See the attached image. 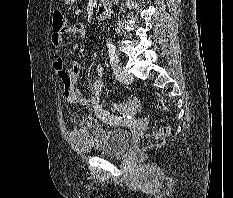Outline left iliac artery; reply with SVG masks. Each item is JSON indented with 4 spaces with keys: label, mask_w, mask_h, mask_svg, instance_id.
Instances as JSON below:
<instances>
[{
    "label": "left iliac artery",
    "mask_w": 233,
    "mask_h": 198,
    "mask_svg": "<svg viewBox=\"0 0 233 198\" xmlns=\"http://www.w3.org/2000/svg\"><path fill=\"white\" fill-rule=\"evenodd\" d=\"M107 47L109 50L110 64H111L112 68H114L119 63L118 53H117L116 48L112 42H108Z\"/></svg>",
    "instance_id": "left-iliac-artery-1"
}]
</instances>
